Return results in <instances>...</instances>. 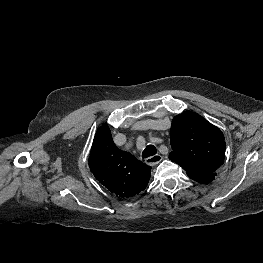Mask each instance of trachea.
<instances>
[{"instance_id": "obj_1", "label": "trachea", "mask_w": 263, "mask_h": 263, "mask_svg": "<svg viewBox=\"0 0 263 263\" xmlns=\"http://www.w3.org/2000/svg\"><path fill=\"white\" fill-rule=\"evenodd\" d=\"M157 153V149L154 145H148L142 152V158H148Z\"/></svg>"}]
</instances>
